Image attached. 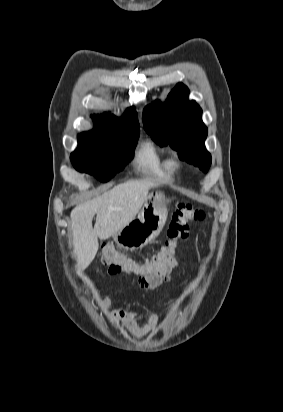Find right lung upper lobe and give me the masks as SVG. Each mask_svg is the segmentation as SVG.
Here are the masks:
<instances>
[{
	"label": "right lung upper lobe",
	"instance_id": "1",
	"mask_svg": "<svg viewBox=\"0 0 283 412\" xmlns=\"http://www.w3.org/2000/svg\"><path fill=\"white\" fill-rule=\"evenodd\" d=\"M95 128L80 135L98 138H118L139 134V123L134 107L128 108L121 118L104 113L94 117Z\"/></svg>",
	"mask_w": 283,
	"mask_h": 412
}]
</instances>
